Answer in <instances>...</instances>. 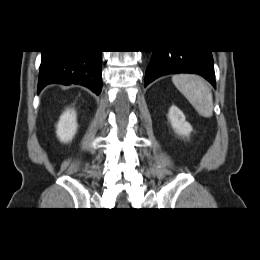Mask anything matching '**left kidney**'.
Instances as JSON below:
<instances>
[{
	"label": "left kidney",
	"instance_id": "5707ae66",
	"mask_svg": "<svg viewBox=\"0 0 260 260\" xmlns=\"http://www.w3.org/2000/svg\"><path fill=\"white\" fill-rule=\"evenodd\" d=\"M169 121L175 133L182 136H188L191 131V125L186 121L183 112L176 106H171L169 109Z\"/></svg>",
	"mask_w": 260,
	"mask_h": 260
}]
</instances>
